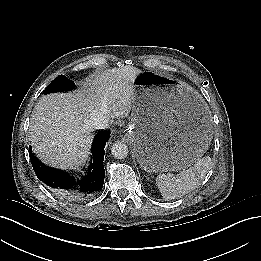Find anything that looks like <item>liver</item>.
I'll use <instances>...</instances> for the list:
<instances>
[{"instance_id":"1","label":"liver","mask_w":261,"mask_h":261,"mask_svg":"<svg viewBox=\"0 0 261 261\" xmlns=\"http://www.w3.org/2000/svg\"><path fill=\"white\" fill-rule=\"evenodd\" d=\"M142 71L126 65L94 75L84 89L52 93L36 104L30 121V141L38 158L47 165L73 169L85 162L92 142V115L127 117L132 109L134 82Z\"/></svg>"}]
</instances>
